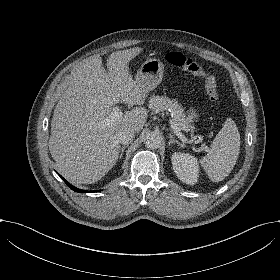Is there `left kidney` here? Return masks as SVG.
<instances>
[{"mask_svg": "<svg viewBox=\"0 0 280 280\" xmlns=\"http://www.w3.org/2000/svg\"><path fill=\"white\" fill-rule=\"evenodd\" d=\"M171 161L178 179L189 185H194L197 182L199 166L195 157L175 152L171 157Z\"/></svg>", "mask_w": 280, "mask_h": 280, "instance_id": "obj_1", "label": "left kidney"}]
</instances>
